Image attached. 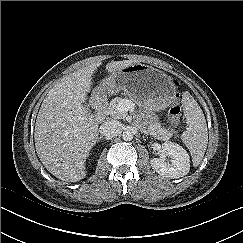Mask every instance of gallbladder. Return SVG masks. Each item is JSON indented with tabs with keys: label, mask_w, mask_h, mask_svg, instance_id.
<instances>
[{
	"label": "gallbladder",
	"mask_w": 243,
	"mask_h": 243,
	"mask_svg": "<svg viewBox=\"0 0 243 243\" xmlns=\"http://www.w3.org/2000/svg\"><path fill=\"white\" fill-rule=\"evenodd\" d=\"M85 107L87 108V110H89V105H85Z\"/></svg>",
	"instance_id": "gallbladder-1"
}]
</instances>
